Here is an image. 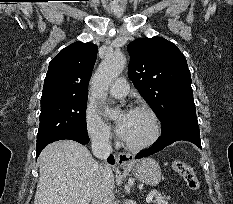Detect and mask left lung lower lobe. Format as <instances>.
Wrapping results in <instances>:
<instances>
[{
	"mask_svg": "<svg viewBox=\"0 0 233 204\" xmlns=\"http://www.w3.org/2000/svg\"><path fill=\"white\" fill-rule=\"evenodd\" d=\"M179 140L192 142L202 149L198 124H179L173 126L168 132H162V135L153 146L138 153L135 158L138 159L152 155Z\"/></svg>",
	"mask_w": 233,
	"mask_h": 204,
	"instance_id": "obj_1",
	"label": "left lung lower lobe"
}]
</instances>
